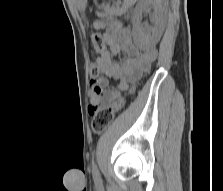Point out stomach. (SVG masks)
<instances>
[{
    "instance_id": "1",
    "label": "stomach",
    "mask_w": 223,
    "mask_h": 191,
    "mask_svg": "<svg viewBox=\"0 0 223 191\" xmlns=\"http://www.w3.org/2000/svg\"><path fill=\"white\" fill-rule=\"evenodd\" d=\"M76 3L80 10H82V11L85 10L86 5H87V0H76Z\"/></svg>"
}]
</instances>
